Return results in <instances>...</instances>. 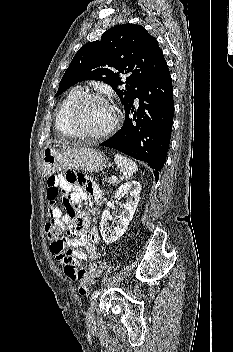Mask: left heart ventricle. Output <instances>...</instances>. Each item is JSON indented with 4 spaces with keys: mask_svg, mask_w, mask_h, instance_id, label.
<instances>
[{
    "mask_svg": "<svg viewBox=\"0 0 233 352\" xmlns=\"http://www.w3.org/2000/svg\"><path fill=\"white\" fill-rule=\"evenodd\" d=\"M113 119L112 107L100 99H88L77 109L75 124L78 130L96 133L105 129Z\"/></svg>",
    "mask_w": 233,
    "mask_h": 352,
    "instance_id": "obj_1",
    "label": "left heart ventricle"
}]
</instances>
